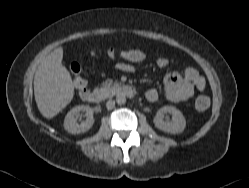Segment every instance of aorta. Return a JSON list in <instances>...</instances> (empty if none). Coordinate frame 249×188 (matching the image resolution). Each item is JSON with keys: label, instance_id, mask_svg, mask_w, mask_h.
<instances>
[{"label": "aorta", "instance_id": "762f6f07", "mask_svg": "<svg viewBox=\"0 0 249 188\" xmlns=\"http://www.w3.org/2000/svg\"><path fill=\"white\" fill-rule=\"evenodd\" d=\"M116 102L119 104V105H123L126 103V96L124 94H118L116 96Z\"/></svg>", "mask_w": 249, "mask_h": 188}]
</instances>
